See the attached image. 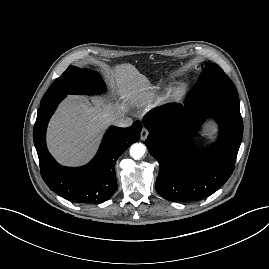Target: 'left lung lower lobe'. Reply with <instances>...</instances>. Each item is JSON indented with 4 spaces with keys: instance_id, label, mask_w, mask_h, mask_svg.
Here are the masks:
<instances>
[{
    "instance_id": "left-lung-lower-lobe-1",
    "label": "left lung lower lobe",
    "mask_w": 269,
    "mask_h": 269,
    "mask_svg": "<svg viewBox=\"0 0 269 269\" xmlns=\"http://www.w3.org/2000/svg\"><path fill=\"white\" fill-rule=\"evenodd\" d=\"M208 115L219 122V140L198 154L191 136ZM143 124L149 131L145 144L160 163L155 187L163 198L198 201L217 191L231 176L243 135L239 104H173L148 115Z\"/></svg>"
}]
</instances>
